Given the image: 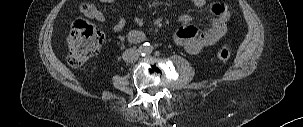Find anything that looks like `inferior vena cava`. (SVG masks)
Segmentation results:
<instances>
[{"mask_svg":"<svg viewBox=\"0 0 303 127\" xmlns=\"http://www.w3.org/2000/svg\"><path fill=\"white\" fill-rule=\"evenodd\" d=\"M139 57L138 50L134 48L126 49L123 52L122 58L125 62L132 63L135 62Z\"/></svg>","mask_w":303,"mask_h":127,"instance_id":"1","label":"inferior vena cava"}]
</instances>
